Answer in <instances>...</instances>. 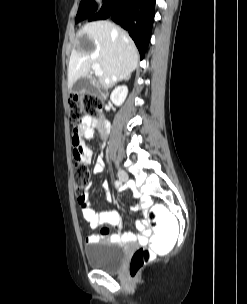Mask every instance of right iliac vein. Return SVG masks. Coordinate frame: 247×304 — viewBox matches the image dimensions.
<instances>
[{"label":"right iliac vein","mask_w":247,"mask_h":304,"mask_svg":"<svg viewBox=\"0 0 247 304\" xmlns=\"http://www.w3.org/2000/svg\"><path fill=\"white\" fill-rule=\"evenodd\" d=\"M117 175H118L119 180H120L122 183L127 182L128 179H129L128 174H127L124 170H122V169H119V170L117 171Z\"/></svg>","instance_id":"63e3f726"}]
</instances>
